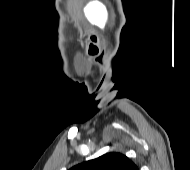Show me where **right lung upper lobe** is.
<instances>
[{
	"label": "right lung upper lobe",
	"mask_w": 190,
	"mask_h": 170,
	"mask_svg": "<svg viewBox=\"0 0 190 170\" xmlns=\"http://www.w3.org/2000/svg\"><path fill=\"white\" fill-rule=\"evenodd\" d=\"M69 170H139L125 155L117 152L104 154L96 159L78 164Z\"/></svg>",
	"instance_id": "cb5924a9"
}]
</instances>
